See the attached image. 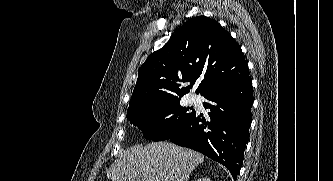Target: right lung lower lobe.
<instances>
[{
	"instance_id": "right-lung-lower-lobe-1",
	"label": "right lung lower lobe",
	"mask_w": 333,
	"mask_h": 181,
	"mask_svg": "<svg viewBox=\"0 0 333 181\" xmlns=\"http://www.w3.org/2000/svg\"><path fill=\"white\" fill-rule=\"evenodd\" d=\"M209 109L207 119L194 113L168 138L224 165L234 180L241 169L249 139L253 104L251 77L218 87L203 95Z\"/></svg>"
}]
</instances>
